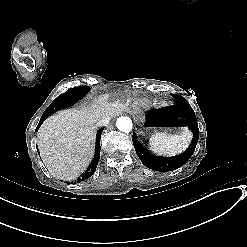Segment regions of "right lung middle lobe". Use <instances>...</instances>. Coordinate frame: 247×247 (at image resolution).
I'll return each instance as SVG.
<instances>
[{"mask_svg":"<svg viewBox=\"0 0 247 247\" xmlns=\"http://www.w3.org/2000/svg\"><path fill=\"white\" fill-rule=\"evenodd\" d=\"M89 87L80 86L68 89L65 93L59 95L44 111L43 115L49 116L54 112L71 106L80 98H82L88 91Z\"/></svg>","mask_w":247,"mask_h":247,"instance_id":"dd1d6c3e","label":"right lung middle lobe"}]
</instances>
